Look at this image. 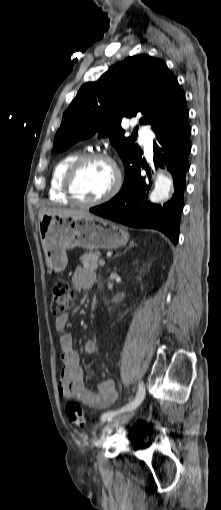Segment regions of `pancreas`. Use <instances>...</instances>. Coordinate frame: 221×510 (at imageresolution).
<instances>
[{
	"mask_svg": "<svg viewBox=\"0 0 221 510\" xmlns=\"http://www.w3.org/2000/svg\"><path fill=\"white\" fill-rule=\"evenodd\" d=\"M100 256L99 251H90L88 253H84L80 257V261L83 266L90 270H96L98 268V257Z\"/></svg>",
	"mask_w": 221,
	"mask_h": 510,
	"instance_id": "obj_1",
	"label": "pancreas"
}]
</instances>
